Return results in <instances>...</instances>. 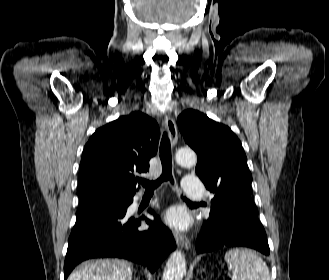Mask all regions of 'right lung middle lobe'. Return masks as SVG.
<instances>
[{
    "mask_svg": "<svg viewBox=\"0 0 329 280\" xmlns=\"http://www.w3.org/2000/svg\"><path fill=\"white\" fill-rule=\"evenodd\" d=\"M123 200L124 198L122 197H95V198L80 200L79 214L84 213L90 210L91 208L106 202L122 203Z\"/></svg>",
    "mask_w": 329,
    "mask_h": 280,
    "instance_id": "obj_1",
    "label": "right lung middle lobe"
}]
</instances>
